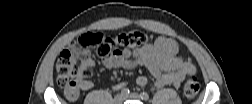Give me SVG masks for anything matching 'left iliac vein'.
Wrapping results in <instances>:
<instances>
[{
	"instance_id": "left-iliac-vein-1",
	"label": "left iliac vein",
	"mask_w": 252,
	"mask_h": 104,
	"mask_svg": "<svg viewBox=\"0 0 252 104\" xmlns=\"http://www.w3.org/2000/svg\"><path fill=\"white\" fill-rule=\"evenodd\" d=\"M128 98H130V99H140V96L137 93H131L130 95L124 97V99H128Z\"/></svg>"
}]
</instances>
